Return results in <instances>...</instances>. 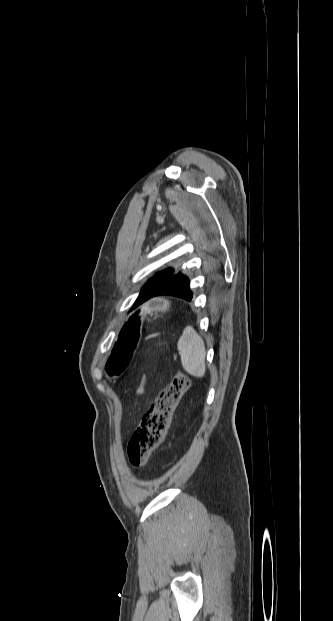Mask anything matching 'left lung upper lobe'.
<instances>
[{
  "instance_id": "left-lung-upper-lobe-1",
  "label": "left lung upper lobe",
  "mask_w": 333,
  "mask_h": 621,
  "mask_svg": "<svg viewBox=\"0 0 333 621\" xmlns=\"http://www.w3.org/2000/svg\"><path fill=\"white\" fill-rule=\"evenodd\" d=\"M182 275L181 273L176 274L173 269H167L163 272L158 273L156 276L151 278L147 284L143 287L140 292V295L136 299L132 309L141 305L145 301L153 298V295L156 291H158L161 287L175 279L177 276ZM131 309V310H132Z\"/></svg>"
}]
</instances>
